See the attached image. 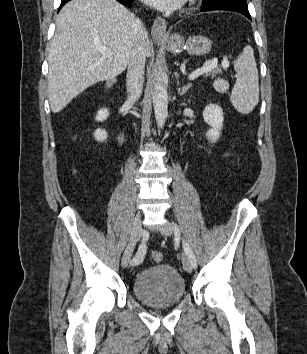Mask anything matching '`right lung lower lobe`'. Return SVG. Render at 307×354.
<instances>
[{"label": "right lung lower lobe", "mask_w": 307, "mask_h": 354, "mask_svg": "<svg viewBox=\"0 0 307 354\" xmlns=\"http://www.w3.org/2000/svg\"><path fill=\"white\" fill-rule=\"evenodd\" d=\"M68 1H70V0H62L61 5H60V8H61L65 3H67ZM117 1H119L120 3H122V4H124V5H127V4L133 2V0H117Z\"/></svg>", "instance_id": "obj_1"}]
</instances>
